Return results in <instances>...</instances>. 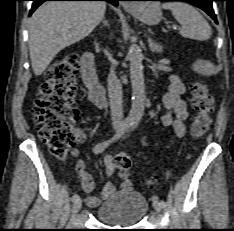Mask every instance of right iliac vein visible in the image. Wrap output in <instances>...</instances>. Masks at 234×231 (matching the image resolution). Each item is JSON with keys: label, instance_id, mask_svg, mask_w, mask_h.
Masks as SVG:
<instances>
[{"label": "right iliac vein", "instance_id": "63e3f726", "mask_svg": "<svg viewBox=\"0 0 234 231\" xmlns=\"http://www.w3.org/2000/svg\"><path fill=\"white\" fill-rule=\"evenodd\" d=\"M82 207V200L79 198L77 201L74 202L72 207V212L77 213Z\"/></svg>", "mask_w": 234, "mask_h": 231}]
</instances>
